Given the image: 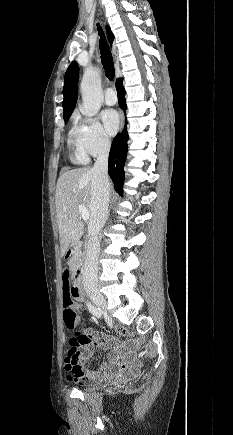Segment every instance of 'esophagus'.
I'll return each mask as SVG.
<instances>
[{
  "label": "esophagus",
  "mask_w": 233,
  "mask_h": 435,
  "mask_svg": "<svg viewBox=\"0 0 233 435\" xmlns=\"http://www.w3.org/2000/svg\"><path fill=\"white\" fill-rule=\"evenodd\" d=\"M124 127V114L123 112L120 113V130H122Z\"/></svg>",
  "instance_id": "34e87169"
}]
</instances>
